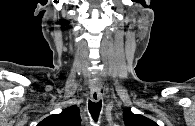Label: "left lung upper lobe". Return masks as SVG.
I'll use <instances>...</instances> for the list:
<instances>
[{"instance_id": "obj_1", "label": "left lung upper lobe", "mask_w": 195, "mask_h": 126, "mask_svg": "<svg viewBox=\"0 0 195 126\" xmlns=\"http://www.w3.org/2000/svg\"><path fill=\"white\" fill-rule=\"evenodd\" d=\"M125 126H158L154 121L142 116L126 111L123 114Z\"/></svg>"}]
</instances>
